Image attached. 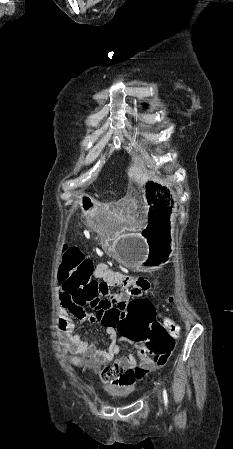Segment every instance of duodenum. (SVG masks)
<instances>
[{"mask_svg":"<svg viewBox=\"0 0 233 449\" xmlns=\"http://www.w3.org/2000/svg\"><path fill=\"white\" fill-rule=\"evenodd\" d=\"M80 203L83 205V206H86V208L87 209H92L93 208V203L92 202H90V199L88 198V197H83L81 200H80Z\"/></svg>","mask_w":233,"mask_h":449,"instance_id":"410a0bca","label":"duodenum"}]
</instances>
